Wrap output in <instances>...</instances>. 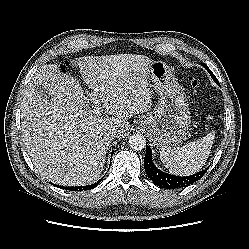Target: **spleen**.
Here are the masks:
<instances>
[{
  "instance_id": "obj_1",
  "label": "spleen",
  "mask_w": 249,
  "mask_h": 249,
  "mask_svg": "<svg viewBox=\"0 0 249 249\" xmlns=\"http://www.w3.org/2000/svg\"><path fill=\"white\" fill-rule=\"evenodd\" d=\"M214 137V133H209L183 147H162L160 159L169 172L174 175L189 176L195 174L205 165Z\"/></svg>"
}]
</instances>
